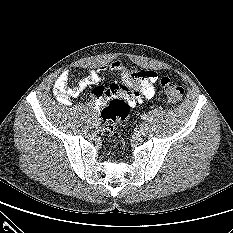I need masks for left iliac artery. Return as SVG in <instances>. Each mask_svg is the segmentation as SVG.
I'll list each match as a JSON object with an SVG mask.
<instances>
[{"instance_id":"obj_1","label":"left iliac artery","mask_w":233,"mask_h":233,"mask_svg":"<svg viewBox=\"0 0 233 233\" xmlns=\"http://www.w3.org/2000/svg\"><path fill=\"white\" fill-rule=\"evenodd\" d=\"M141 118H142L143 120H145V119L147 118V116L144 114V115L141 116Z\"/></svg>"}]
</instances>
